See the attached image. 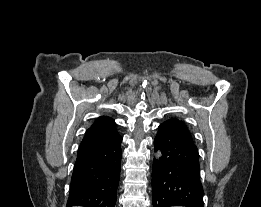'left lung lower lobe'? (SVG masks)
<instances>
[{"label":"left lung lower lobe","instance_id":"1","mask_svg":"<svg viewBox=\"0 0 261 207\" xmlns=\"http://www.w3.org/2000/svg\"><path fill=\"white\" fill-rule=\"evenodd\" d=\"M154 149L162 156L153 162V207H204L200 156L180 126L172 120L160 124Z\"/></svg>","mask_w":261,"mask_h":207}]
</instances>
